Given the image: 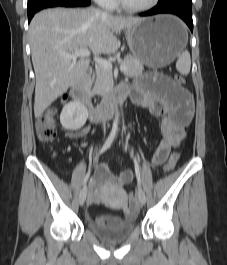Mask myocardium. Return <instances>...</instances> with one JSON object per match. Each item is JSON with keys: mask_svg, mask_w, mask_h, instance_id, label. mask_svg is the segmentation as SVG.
I'll return each instance as SVG.
<instances>
[{"mask_svg": "<svg viewBox=\"0 0 227 265\" xmlns=\"http://www.w3.org/2000/svg\"><path fill=\"white\" fill-rule=\"evenodd\" d=\"M160 0H152L149 4L142 7H133L128 5L125 0H117L118 5L129 13H143L147 12L157 6Z\"/></svg>", "mask_w": 227, "mask_h": 265, "instance_id": "myocardium-1", "label": "myocardium"}]
</instances>
